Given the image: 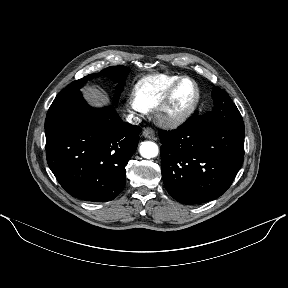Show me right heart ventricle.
Returning a JSON list of instances; mask_svg holds the SVG:
<instances>
[{
	"mask_svg": "<svg viewBox=\"0 0 288 288\" xmlns=\"http://www.w3.org/2000/svg\"><path fill=\"white\" fill-rule=\"evenodd\" d=\"M179 78L178 75L169 74L146 76L135 85V94L149 109L155 108Z\"/></svg>",
	"mask_w": 288,
	"mask_h": 288,
	"instance_id": "e07e8e85",
	"label": "right heart ventricle"
}]
</instances>
